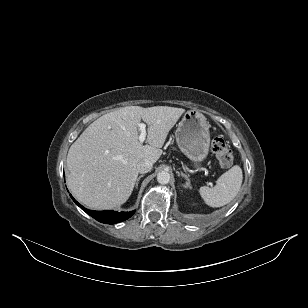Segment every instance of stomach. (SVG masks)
<instances>
[{
  "label": "stomach",
  "mask_w": 308,
  "mask_h": 308,
  "mask_svg": "<svg viewBox=\"0 0 308 308\" xmlns=\"http://www.w3.org/2000/svg\"><path fill=\"white\" fill-rule=\"evenodd\" d=\"M207 118L197 110L187 111L175 132L176 142L181 152L198 168L209 152L210 132Z\"/></svg>",
  "instance_id": "obj_1"
}]
</instances>
